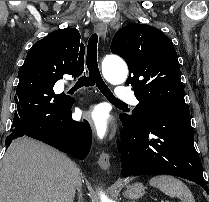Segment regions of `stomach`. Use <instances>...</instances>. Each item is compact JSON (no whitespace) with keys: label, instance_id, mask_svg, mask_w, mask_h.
I'll use <instances>...</instances> for the list:
<instances>
[{"label":"stomach","instance_id":"1","mask_svg":"<svg viewBox=\"0 0 209 202\" xmlns=\"http://www.w3.org/2000/svg\"><path fill=\"white\" fill-rule=\"evenodd\" d=\"M145 192V187L141 183H135L131 186H127L126 191L124 192V195L131 199H137L142 197V195Z\"/></svg>","mask_w":209,"mask_h":202}]
</instances>
